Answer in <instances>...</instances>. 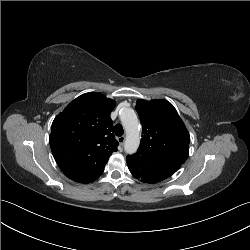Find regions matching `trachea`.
<instances>
[{
    "instance_id": "trachea-1",
    "label": "trachea",
    "mask_w": 250,
    "mask_h": 250,
    "mask_svg": "<svg viewBox=\"0 0 250 250\" xmlns=\"http://www.w3.org/2000/svg\"><path fill=\"white\" fill-rule=\"evenodd\" d=\"M114 132L117 136H122L124 133L123 127L121 124H116L114 127Z\"/></svg>"
}]
</instances>
